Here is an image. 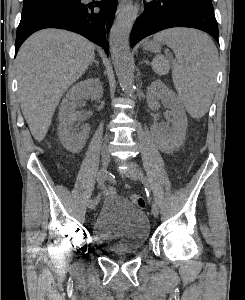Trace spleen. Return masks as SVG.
Returning <instances> with one entry per match:
<instances>
[{
    "label": "spleen",
    "mask_w": 245,
    "mask_h": 300,
    "mask_svg": "<svg viewBox=\"0 0 245 300\" xmlns=\"http://www.w3.org/2000/svg\"><path fill=\"white\" fill-rule=\"evenodd\" d=\"M154 40L171 47L176 60L172 78L181 103L194 118L203 117L213 98V85L217 73L218 51L205 34L184 28H174L157 33ZM152 69L158 75L169 72V60L157 56Z\"/></svg>",
    "instance_id": "obj_1"
}]
</instances>
